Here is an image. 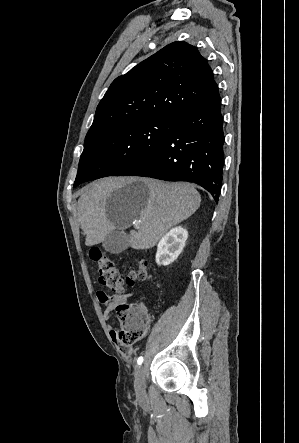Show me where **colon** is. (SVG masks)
<instances>
[{
    "label": "colon",
    "instance_id": "1",
    "mask_svg": "<svg viewBox=\"0 0 299 443\" xmlns=\"http://www.w3.org/2000/svg\"><path fill=\"white\" fill-rule=\"evenodd\" d=\"M90 257L98 265L99 280L102 285L116 291L123 292L124 284L133 286L135 282L145 281L151 274L147 262H140L136 269L129 271L123 280L116 269L114 262L98 248H91ZM116 315L120 324L118 340L121 352L128 356L131 346L144 339L152 325V317L142 303H121L116 307Z\"/></svg>",
    "mask_w": 299,
    "mask_h": 443
}]
</instances>
